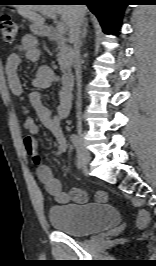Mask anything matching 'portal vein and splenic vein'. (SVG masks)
<instances>
[{
  "label": "portal vein and splenic vein",
  "mask_w": 156,
  "mask_h": 266,
  "mask_svg": "<svg viewBox=\"0 0 156 266\" xmlns=\"http://www.w3.org/2000/svg\"><path fill=\"white\" fill-rule=\"evenodd\" d=\"M42 13L53 18L55 23H56V27H57L58 32L60 34H65L67 27H66L65 23L57 20V15L55 13H50L47 11H42Z\"/></svg>",
  "instance_id": "1"
}]
</instances>
